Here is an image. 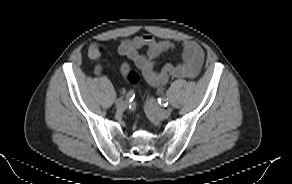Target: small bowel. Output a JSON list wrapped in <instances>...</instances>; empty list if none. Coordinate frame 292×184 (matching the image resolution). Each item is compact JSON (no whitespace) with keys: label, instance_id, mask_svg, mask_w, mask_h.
Here are the masks:
<instances>
[{"label":"small bowel","instance_id":"obj_1","mask_svg":"<svg viewBox=\"0 0 292 184\" xmlns=\"http://www.w3.org/2000/svg\"><path fill=\"white\" fill-rule=\"evenodd\" d=\"M142 48L147 49L146 53L140 52ZM173 49L174 44L171 42L157 41L147 34L122 39L118 45L119 55L130 60L141 71L143 77L155 87L163 86L170 78H195L200 72L204 52L193 41H186L183 44L181 63L167 64L161 70H156L154 60L162 53ZM95 72L100 74L102 66L97 65Z\"/></svg>","mask_w":292,"mask_h":184}]
</instances>
